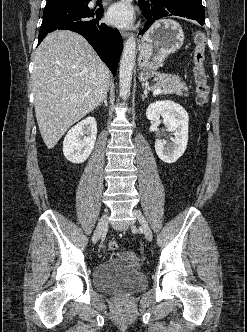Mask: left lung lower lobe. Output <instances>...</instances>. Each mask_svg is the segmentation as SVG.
Returning a JSON list of instances; mask_svg holds the SVG:
<instances>
[{"instance_id": "obj_1", "label": "left lung lower lobe", "mask_w": 247, "mask_h": 332, "mask_svg": "<svg viewBox=\"0 0 247 332\" xmlns=\"http://www.w3.org/2000/svg\"><path fill=\"white\" fill-rule=\"evenodd\" d=\"M143 15L148 21L145 23L142 32H145L155 20L166 16H180L197 21L200 25L205 24V12L202 3L188 1L160 2L153 5L149 0L140 4Z\"/></svg>"}]
</instances>
